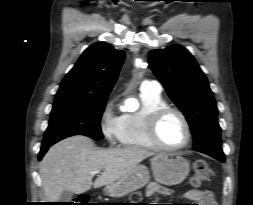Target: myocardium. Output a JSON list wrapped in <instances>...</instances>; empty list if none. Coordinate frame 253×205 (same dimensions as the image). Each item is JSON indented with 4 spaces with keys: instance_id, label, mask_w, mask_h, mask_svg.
I'll list each match as a JSON object with an SVG mask.
<instances>
[{
    "instance_id": "myocardium-1",
    "label": "myocardium",
    "mask_w": 253,
    "mask_h": 205,
    "mask_svg": "<svg viewBox=\"0 0 253 205\" xmlns=\"http://www.w3.org/2000/svg\"><path fill=\"white\" fill-rule=\"evenodd\" d=\"M169 114H176L177 116H179L185 125L186 139L182 144L177 145V146H169V145L164 144L161 141L160 136H159L160 124L164 120V118L168 116ZM147 135L151 143L156 148L160 150H164V151H177V150L185 148L189 144L192 138V130H191L190 122L188 118L186 117V115L181 110L167 105L153 111L150 114L148 118V122H147Z\"/></svg>"
}]
</instances>
